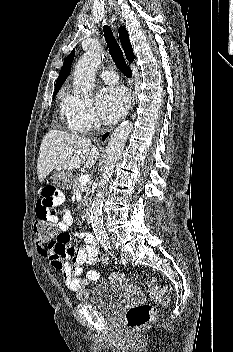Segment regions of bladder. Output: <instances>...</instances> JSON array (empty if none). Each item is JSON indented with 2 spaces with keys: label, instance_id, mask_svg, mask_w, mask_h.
Wrapping results in <instances>:
<instances>
[{
  "label": "bladder",
  "instance_id": "31cf9c89",
  "mask_svg": "<svg viewBox=\"0 0 233 352\" xmlns=\"http://www.w3.org/2000/svg\"><path fill=\"white\" fill-rule=\"evenodd\" d=\"M125 300V293L119 287L109 281H104L93 288L88 302L99 312L115 316Z\"/></svg>",
  "mask_w": 233,
  "mask_h": 352
}]
</instances>
